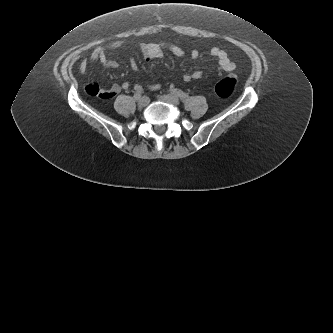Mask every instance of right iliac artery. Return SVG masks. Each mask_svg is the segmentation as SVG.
Here are the masks:
<instances>
[{
    "label": "right iliac artery",
    "instance_id": "82829eb1",
    "mask_svg": "<svg viewBox=\"0 0 333 333\" xmlns=\"http://www.w3.org/2000/svg\"><path fill=\"white\" fill-rule=\"evenodd\" d=\"M142 92H143V90H141V91H137V92L135 93L134 97H135L136 100H139V99L141 98V94H142Z\"/></svg>",
    "mask_w": 333,
    "mask_h": 333
}]
</instances>
